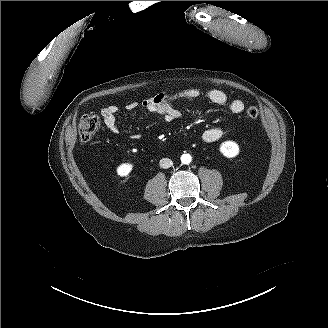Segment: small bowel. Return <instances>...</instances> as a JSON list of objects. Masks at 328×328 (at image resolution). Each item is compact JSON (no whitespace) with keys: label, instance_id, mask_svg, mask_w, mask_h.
<instances>
[{"label":"small bowel","instance_id":"1","mask_svg":"<svg viewBox=\"0 0 328 328\" xmlns=\"http://www.w3.org/2000/svg\"><path fill=\"white\" fill-rule=\"evenodd\" d=\"M199 98H206L216 105H227L230 111L234 114L242 113L245 105L242 100H229L225 92L219 89L202 90L199 88H188L176 93L161 92L152 97L146 98L139 102H130L126 105L127 111H134L139 105L145 110L160 116L165 122H171L180 116L179 110L173 106V102L177 100H195ZM119 108L116 105H108L101 110V116L105 127L112 133L119 132L116 115ZM223 132L219 127H212L206 129L202 133L203 141L212 143L221 138ZM137 139L136 135L132 136Z\"/></svg>","mask_w":328,"mask_h":328}]
</instances>
